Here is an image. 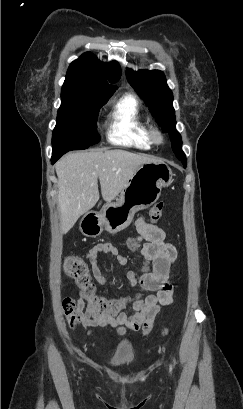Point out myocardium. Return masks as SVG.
I'll use <instances>...</instances> for the list:
<instances>
[{
	"mask_svg": "<svg viewBox=\"0 0 243 409\" xmlns=\"http://www.w3.org/2000/svg\"><path fill=\"white\" fill-rule=\"evenodd\" d=\"M150 139L154 144L162 145L165 142V135L158 127L150 128Z\"/></svg>",
	"mask_w": 243,
	"mask_h": 409,
	"instance_id": "1",
	"label": "myocardium"
}]
</instances>
